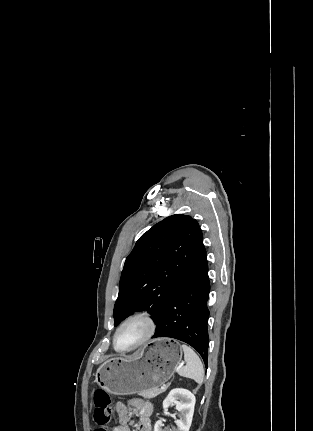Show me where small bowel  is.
Returning a JSON list of instances; mask_svg holds the SVG:
<instances>
[{"label": "small bowel", "instance_id": "1", "mask_svg": "<svg viewBox=\"0 0 313 431\" xmlns=\"http://www.w3.org/2000/svg\"><path fill=\"white\" fill-rule=\"evenodd\" d=\"M115 409L118 415V424L113 428V431H131L129 427L130 412H133L138 418L136 431H152L151 403L139 398H133L128 400L126 404L116 403Z\"/></svg>", "mask_w": 313, "mask_h": 431}]
</instances>
